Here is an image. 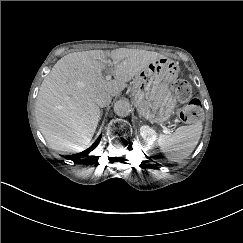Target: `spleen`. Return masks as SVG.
Here are the masks:
<instances>
[{"mask_svg": "<svg viewBox=\"0 0 243 243\" xmlns=\"http://www.w3.org/2000/svg\"><path fill=\"white\" fill-rule=\"evenodd\" d=\"M202 123L181 126L172 135H160L158 145L168 158L184 159L188 157L201 137Z\"/></svg>", "mask_w": 243, "mask_h": 243, "instance_id": "obj_1", "label": "spleen"}]
</instances>
